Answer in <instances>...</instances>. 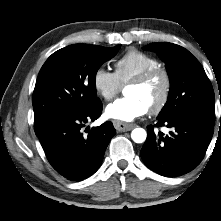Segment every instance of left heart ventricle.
Returning a JSON list of instances; mask_svg holds the SVG:
<instances>
[{"label":"left heart ventricle","mask_w":221,"mask_h":221,"mask_svg":"<svg viewBox=\"0 0 221 221\" xmlns=\"http://www.w3.org/2000/svg\"><path fill=\"white\" fill-rule=\"evenodd\" d=\"M162 87L163 80L160 76H157L148 83L141 86L129 85L126 88V95L128 97H135L140 99L149 109L159 99Z\"/></svg>","instance_id":"left-heart-ventricle-1"}]
</instances>
